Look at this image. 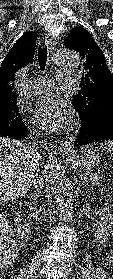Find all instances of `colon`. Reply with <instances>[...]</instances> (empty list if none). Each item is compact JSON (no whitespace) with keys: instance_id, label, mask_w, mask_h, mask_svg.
Segmentation results:
<instances>
[{"instance_id":"1","label":"colon","mask_w":113,"mask_h":279,"mask_svg":"<svg viewBox=\"0 0 113 279\" xmlns=\"http://www.w3.org/2000/svg\"><path fill=\"white\" fill-rule=\"evenodd\" d=\"M15 248L14 237L6 218L0 215V262L10 259Z\"/></svg>"}]
</instances>
